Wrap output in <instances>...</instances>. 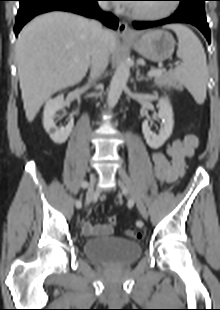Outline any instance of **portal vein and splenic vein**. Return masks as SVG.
<instances>
[{"label":"portal vein and splenic vein","instance_id":"obj_1","mask_svg":"<svg viewBox=\"0 0 220 310\" xmlns=\"http://www.w3.org/2000/svg\"><path fill=\"white\" fill-rule=\"evenodd\" d=\"M164 70L163 69H153L147 73L148 77H154V76H159L163 74Z\"/></svg>","mask_w":220,"mask_h":310}]
</instances>
